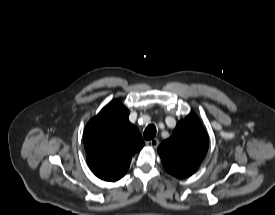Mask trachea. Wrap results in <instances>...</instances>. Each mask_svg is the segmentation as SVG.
<instances>
[{"label": "trachea", "mask_w": 275, "mask_h": 215, "mask_svg": "<svg viewBox=\"0 0 275 215\" xmlns=\"http://www.w3.org/2000/svg\"><path fill=\"white\" fill-rule=\"evenodd\" d=\"M155 135H156V127L153 124L148 125L144 131V138L146 140H151L155 137Z\"/></svg>", "instance_id": "1"}]
</instances>
